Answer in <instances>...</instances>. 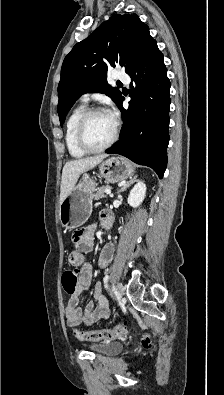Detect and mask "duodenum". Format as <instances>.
I'll list each match as a JSON object with an SVG mask.
<instances>
[{
    "label": "duodenum",
    "mask_w": 224,
    "mask_h": 395,
    "mask_svg": "<svg viewBox=\"0 0 224 395\" xmlns=\"http://www.w3.org/2000/svg\"><path fill=\"white\" fill-rule=\"evenodd\" d=\"M112 218H113L112 213L109 211H105L104 215H103V223L102 224L105 227H108L112 221Z\"/></svg>",
    "instance_id": "410a0bca"
}]
</instances>
